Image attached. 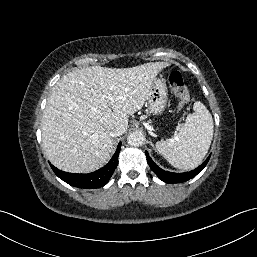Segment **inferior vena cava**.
<instances>
[{
  "instance_id": "602c4592",
  "label": "inferior vena cava",
  "mask_w": 257,
  "mask_h": 257,
  "mask_svg": "<svg viewBox=\"0 0 257 257\" xmlns=\"http://www.w3.org/2000/svg\"><path fill=\"white\" fill-rule=\"evenodd\" d=\"M110 136L111 137H117L123 134V132L120 129H114L112 131H110Z\"/></svg>"
}]
</instances>
